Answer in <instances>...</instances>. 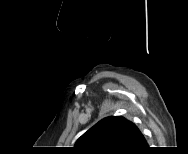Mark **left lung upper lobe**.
<instances>
[{
	"label": "left lung upper lobe",
	"instance_id": "1",
	"mask_svg": "<svg viewBox=\"0 0 188 154\" xmlns=\"http://www.w3.org/2000/svg\"><path fill=\"white\" fill-rule=\"evenodd\" d=\"M136 125L122 116L102 119L76 142L84 154H124L130 151Z\"/></svg>",
	"mask_w": 188,
	"mask_h": 154
}]
</instances>
